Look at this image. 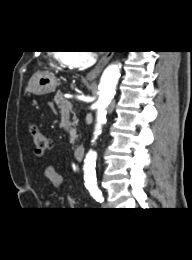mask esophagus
Returning <instances> with one entry per match:
<instances>
[{
  "label": "esophagus",
  "mask_w": 192,
  "mask_h": 260,
  "mask_svg": "<svg viewBox=\"0 0 192 260\" xmlns=\"http://www.w3.org/2000/svg\"><path fill=\"white\" fill-rule=\"evenodd\" d=\"M113 53H106L98 62V64L95 66V68L93 70H91L86 78L88 80H94L103 70V68L106 66V64L109 62V60L111 59Z\"/></svg>",
  "instance_id": "obj_1"
}]
</instances>
